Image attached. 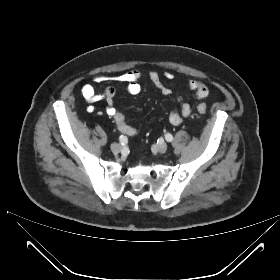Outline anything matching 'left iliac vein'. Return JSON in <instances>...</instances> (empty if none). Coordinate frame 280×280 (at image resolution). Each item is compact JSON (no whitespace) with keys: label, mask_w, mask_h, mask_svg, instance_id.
<instances>
[{"label":"left iliac vein","mask_w":280,"mask_h":280,"mask_svg":"<svg viewBox=\"0 0 280 280\" xmlns=\"http://www.w3.org/2000/svg\"><path fill=\"white\" fill-rule=\"evenodd\" d=\"M167 149H168V146L165 142H161L156 145V150L161 154L165 153L167 151Z\"/></svg>","instance_id":"1"}]
</instances>
